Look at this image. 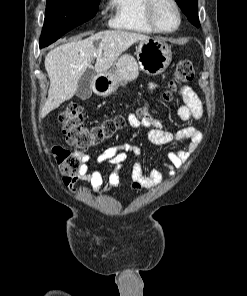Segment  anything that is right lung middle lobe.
Segmentation results:
<instances>
[{
  "instance_id": "right-lung-middle-lobe-1",
  "label": "right lung middle lobe",
  "mask_w": 247,
  "mask_h": 296,
  "mask_svg": "<svg viewBox=\"0 0 247 296\" xmlns=\"http://www.w3.org/2000/svg\"><path fill=\"white\" fill-rule=\"evenodd\" d=\"M100 0H47L40 48L55 42L72 28L90 20Z\"/></svg>"
}]
</instances>
